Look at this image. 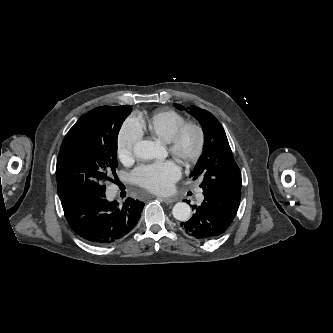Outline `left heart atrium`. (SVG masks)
<instances>
[{
	"label": "left heart atrium",
	"mask_w": 333,
	"mask_h": 333,
	"mask_svg": "<svg viewBox=\"0 0 333 333\" xmlns=\"http://www.w3.org/2000/svg\"><path fill=\"white\" fill-rule=\"evenodd\" d=\"M181 175L180 167L174 161L156 162L137 167L132 173L133 181L154 192L165 193Z\"/></svg>",
	"instance_id": "39dd6f15"
}]
</instances>
